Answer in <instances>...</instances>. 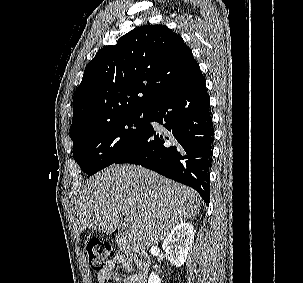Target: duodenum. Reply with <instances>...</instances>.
Instances as JSON below:
<instances>
[{"label":"duodenum","instance_id":"1","mask_svg":"<svg viewBox=\"0 0 303 283\" xmlns=\"http://www.w3.org/2000/svg\"><path fill=\"white\" fill-rule=\"evenodd\" d=\"M119 245L122 249L131 253L132 258L136 262L139 269L140 282L144 283L150 267V258L146 252L132 248L127 242L125 234L119 235Z\"/></svg>","mask_w":303,"mask_h":283}]
</instances>
